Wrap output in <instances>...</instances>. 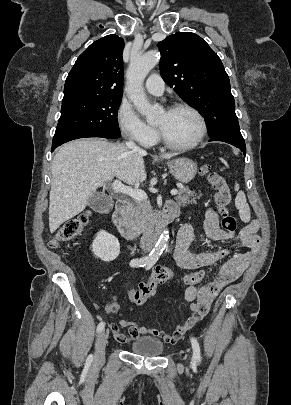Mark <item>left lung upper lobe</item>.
I'll return each mask as SVG.
<instances>
[{
	"mask_svg": "<svg viewBox=\"0 0 291 405\" xmlns=\"http://www.w3.org/2000/svg\"><path fill=\"white\" fill-rule=\"evenodd\" d=\"M160 73L168 86L205 118L211 138L241 135L229 77L218 55L191 32H178L159 43Z\"/></svg>",
	"mask_w": 291,
	"mask_h": 405,
	"instance_id": "5c2ea615",
	"label": "left lung upper lobe"
}]
</instances>
